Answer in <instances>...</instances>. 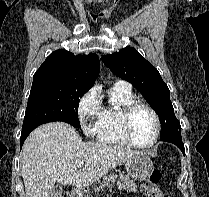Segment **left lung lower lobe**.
Here are the masks:
<instances>
[{
	"label": "left lung lower lobe",
	"instance_id": "left-lung-lower-lobe-1",
	"mask_svg": "<svg viewBox=\"0 0 209 197\" xmlns=\"http://www.w3.org/2000/svg\"><path fill=\"white\" fill-rule=\"evenodd\" d=\"M163 141L175 144L185 155V148H184V144L182 142V138H170V139H166Z\"/></svg>",
	"mask_w": 209,
	"mask_h": 197
}]
</instances>
